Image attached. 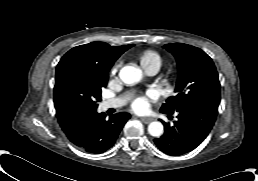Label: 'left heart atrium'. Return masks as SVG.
Here are the masks:
<instances>
[{"label": "left heart atrium", "instance_id": "1", "mask_svg": "<svg viewBox=\"0 0 258 181\" xmlns=\"http://www.w3.org/2000/svg\"><path fill=\"white\" fill-rule=\"evenodd\" d=\"M149 98H152L151 94L148 95ZM148 97H138L132 103V109L137 112L145 111L148 107Z\"/></svg>", "mask_w": 258, "mask_h": 181}]
</instances>
